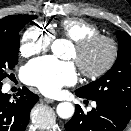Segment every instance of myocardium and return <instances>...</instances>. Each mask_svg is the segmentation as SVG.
<instances>
[{"label": "myocardium", "mask_w": 131, "mask_h": 131, "mask_svg": "<svg viewBox=\"0 0 131 131\" xmlns=\"http://www.w3.org/2000/svg\"><path fill=\"white\" fill-rule=\"evenodd\" d=\"M99 42L106 44L109 49L108 58L101 67L95 70H89V69L84 68L79 63L78 59H76V63L81 73L85 77H88L91 79L100 78L112 69V67L114 66L118 58V44L112 37L104 35V34H100V33L87 36L81 40L74 42V46L78 54L84 53L91 46Z\"/></svg>", "instance_id": "f54148a6"}]
</instances>
